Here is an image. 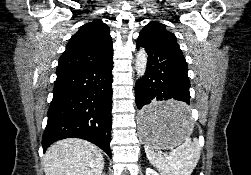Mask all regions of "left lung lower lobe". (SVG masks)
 Returning a JSON list of instances; mask_svg holds the SVG:
<instances>
[{
    "label": "left lung lower lobe",
    "instance_id": "1",
    "mask_svg": "<svg viewBox=\"0 0 251 175\" xmlns=\"http://www.w3.org/2000/svg\"><path fill=\"white\" fill-rule=\"evenodd\" d=\"M137 49L143 47L148 55L145 75L135 85L138 120L146 126L176 123L191 115L188 67L177 48L149 35H139ZM175 99L180 104H157Z\"/></svg>",
    "mask_w": 251,
    "mask_h": 175
}]
</instances>
